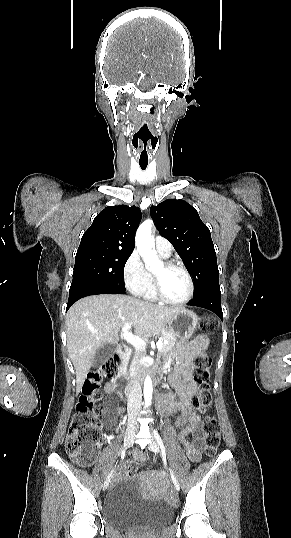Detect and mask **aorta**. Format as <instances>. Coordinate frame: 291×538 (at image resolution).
I'll list each match as a JSON object with an SVG mask.
<instances>
[{
	"mask_svg": "<svg viewBox=\"0 0 291 538\" xmlns=\"http://www.w3.org/2000/svg\"><path fill=\"white\" fill-rule=\"evenodd\" d=\"M152 226V220H145L142 224H140L136 233L137 250L142 256L145 262L146 269L148 270H153L162 265V261L152 250ZM152 396V379L149 375H147L144 381V403L147 408L151 406Z\"/></svg>",
	"mask_w": 291,
	"mask_h": 538,
	"instance_id": "1",
	"label": "aorta"
}]
</instances>
